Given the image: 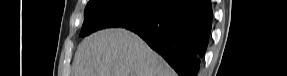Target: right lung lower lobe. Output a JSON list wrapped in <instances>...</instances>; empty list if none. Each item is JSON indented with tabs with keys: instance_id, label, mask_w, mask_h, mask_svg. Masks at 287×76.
<instances>
[{
	"instance_id": "98d812e1",
	"label": "right lung lower lobe",
	"mask_w": 287,
	"mask_h": 76,
	"mask_svg": "<svg viewBox=\"0 0 287 76\" xmlns=\"http://www.w3.org/2000/svg\"><path fill=\"white\" fill-rule=\"evenodd\" d=\"M211 26L210 0H165L150 19L126 29L145 40L180 76H196Z\"/></svg>"
}]
</instances>
